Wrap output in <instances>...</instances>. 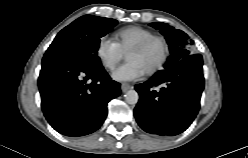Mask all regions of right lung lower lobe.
Returning a JSON list of instances; mask_svg holds the SVG:
<instances>
[{
  "label": "right lung lower lobe",
  "instance_id": "right-lung-lower-lobe-1",
  "mask_svg": "<svg viewBox=\"0 0 248 158\" xmlns=\"http://www.w3.org/2000/svg\"><path fill=\"white\" fill-rule=\"evenodd\" d=\"M43 113L66 136L96 131L107 116V104L120 95L96 55L46 51L38 79Z\"/></svg>",
  "mask_w": 248,
  "mask_h": 158
}]
</instances>
